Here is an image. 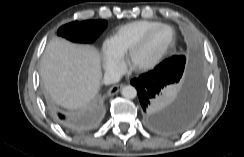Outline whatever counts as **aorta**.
Segmentation results:
<instances>
[{"label": "aorta", "instance_id": "obj_1", "mask_svg": "<svg viewBox=\"0 0 244 157\" xmlns=\"http://www.w3.org/2000/svg\"><path fill=\"white\" fill-rule=\"evenodd\" d=\"M121 94L122 96H124L125 98H128V99H133L136 97L137 95V91L135 89V87L131 86V85H127V86H124L121 90Z\"/></svg>", "mask_w": 244, "mask_h": 157}]
</instances>
